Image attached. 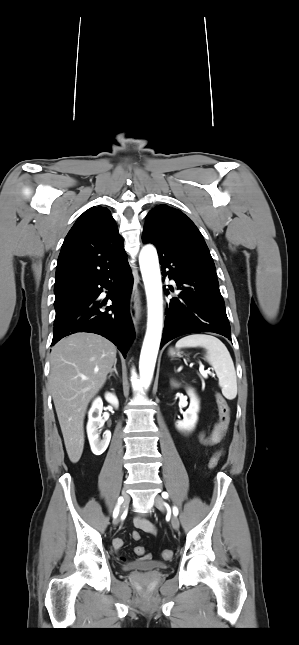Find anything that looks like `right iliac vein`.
<instances>
[{
	"label": "right iliac vein",
	"instance_id": "63e3f726",
	"mask_svg": "<svg viewBox=\"0 0 299 645\" xmlns=\"http://www.w3.org/2000/svg\"><path fill=\"white\" fill-rule=\"evenodd\" d=\"M121 497L123 498V504H122L121 512H123L124 509L128 506L129 501H130V497L127 494L125 489H123ZM118 523H119V517H116L114 519V521H113V524L117 525Z\"/></svg>",
	"mask_w": 299,
	"mask_h": 645
}]
</instances>
